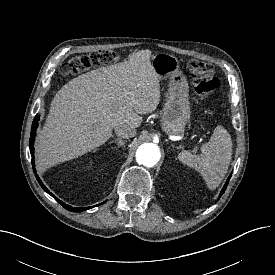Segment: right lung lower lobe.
Returning <instances> with one entry per match:
<instances>
[{
    "instance_id": "98d812e1",
    "label": "right lung lower lobe",
    "mask_w": 275,
    "mask_h": 275,
    "mask_svg": "<svg viewBox=\"0 0 275 275\" xmlns=\"http://www.w3.org/2000/svg\"><path fill=\"white\" fill-rule=\"evenodd\" d=\"M40 117L36 116L33 120L32 123V127H31V135H30V141H29V145H30V153L32 155V157L34 158V140H35V136H36V129L38 127V121H39ZM32 165H33V171L35 173L36 179L38 180L39 184L41 185V187L48 193L50 194L53 198H55L65 209L72 211V212H81V211H85L88 210L90 208L93 207H85V208H80V207H72L70 205H66L65 203H63L61 200H59L58 198H56L42 183V181L40 180L39 176L36 174V169H35V163H34V159H32ZM102 204V203H101ZM98 206V205H97Z\"/></svg>"
}]
</instances>
